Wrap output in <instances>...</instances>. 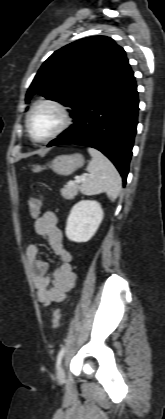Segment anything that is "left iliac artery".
<instances>
[{
    "instance_id": "obj_1",
    "label": "left iliac artery",
    "mask_w": 165,
    "mask_h": 419,
    "mask_svg": "<svg viewBox=\"0 0 165 419\" xmlns=\"http://www.w3.org/2000/svg\"><path fill=\"white\" fill-rule=\"evenodd\" d=\"M65 353V347H62L61 350L59 351L58 355H57V361H56V367L57 369L59 368V365L61 363L62 357Z\"/></svg>"
}]
</instances>
